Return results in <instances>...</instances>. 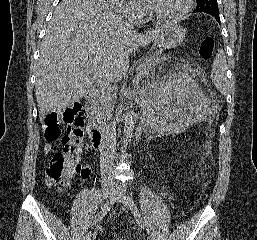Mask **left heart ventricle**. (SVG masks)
Listing matches in <instances>:
<instances>
[{
    "mask_svg": "<svg viewBox=\"0 0 257 240\" xmlns=\"http://www.w3.org/2000/svg\"><path fill=\"white\" fill-rule=\"evenodd\" d=\"M148 3L155 14L165 17L178 13L185 0H148Z\"/></svg>",
    "mask_w": 257,
    "mask_h": 240,
    "instance_id": "1",
    "label": "left heart ventricle"
}]
</instances>
